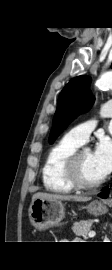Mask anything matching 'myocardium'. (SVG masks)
<instances>
[{
  "mask_svg": "<svg viewBox=\"0 0 112 270\" xmlns=\"http://www.w3.org/2000/svg\"><path fill=\"white\" fill-rule=\"evenodd\" d=\"M84 150L77 149L71 153L63 163V174L66 181L76 190H93L100 187L105 178L94 183H86L80 177L79 162Z\"/></svg>",
  "mask_w": 112,
  "mask_h": 270,
  "instance_id": "obj_1",
  "label": "myocardium"
}]
</instances>
